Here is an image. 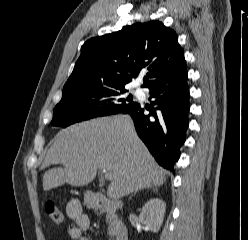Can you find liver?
Here are the masks:
<instances>
[{
	"label": "liver",
	"instance_id": "obj_1",
	"mask_svg": "<svg viewBox=\"0 0 248 240\" xmlns=\"http://www.w3.org/2000/svg\"><path fill=\"white\" fill-rule=\"evenodd\" d=\"M60 164L43 176L49 191L65 183L84 186L98 169L112 173L107 196L118 200L137 189L160 186L166 180L162 170L139 139L129 116L102 117L61 130L47 152L44 167Z\"/></svg>",
	"mask_w": 248,
	"mask_h": 240
}]
</instances>
